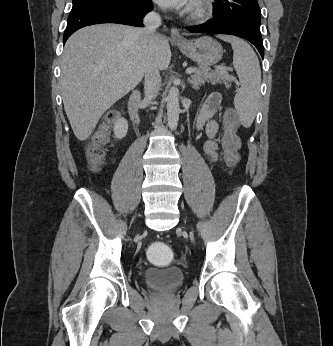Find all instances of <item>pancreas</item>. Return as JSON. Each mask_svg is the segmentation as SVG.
<instances>
[{
  "mask_svg": "<svg viewBox=\"0 0 333 346\" xmlns=\"http://www.w3.org/2000/svg\"><path fill=\"white\" fill-rule=\"evenodd\" d=\"M233 81V77L223 69L217 68L214 71H211L208 67H199L194 68V72L189 79L192 88L198 90L201 85H204L205 82H210L212 85L217 83H225L229 86V83Z\"/></svg>",
  "mask_w": 333,
  "mask_h": 346,
  "instance_id": "cf45deb5",
  "label": "pancreas"
}]
</instances>
